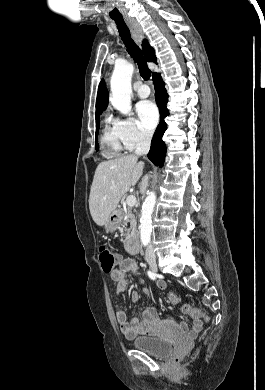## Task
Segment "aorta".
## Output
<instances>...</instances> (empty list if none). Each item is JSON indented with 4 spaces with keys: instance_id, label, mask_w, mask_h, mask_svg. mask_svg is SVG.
<instances>
[{
    "instance_id": "aorta-1",
    "label": "aorta",
    "mask_w": 265,
    "mask_h": 390,
    "mask_svg": "<svg viewBox=\"0 0 265 390\" xmlns=\"http://www.w3.org/2000/svg\"><path fill=\"white\" fill-rule=\"evenodd\" d=\"M134 66L131 63H116L111 77V103L122 114L128 115L131 111V79ZM156 203V195L150 192L146 197L140 218V238L143 245L151 241L152 213Z\"/></svg>"
}]
</instances>
